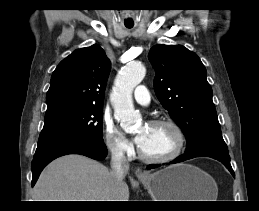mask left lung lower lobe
Returning a JSON list of instances; mask_svg holds the SVG:
<instances>
[{
  "instance_id": "1",
  "label": "left lung lower lobe",
  "mask_w": 259,
  "mask_h": 211,
  "mask_svg": "<svg viewBox=\"0 0 259 211\" xmlns=\"http://www.w3.org/2000/svg\"><path fill=\"white\" fill-rule=\"evenodd\" d=\"M195 157H211L213 159H216L220 161L231 172L233 176H235L234 171L230 164V156L228 154V150H225V149H218V148H211V147L200 148L189 153H184L183 155L179 156L171 163L172 164L179 163ZM157 166L158 165H149L148 169H152Z\"/></svg>"
}]
</instances>
